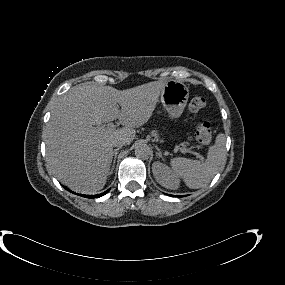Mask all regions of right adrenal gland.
I'll use <instances>...</instances> for the list:
<instances>
[{
	"mask_svg": "<svg viewBox=\"0 0 285 285\" xmlns=\"http://www.w3.org/2000/svg\"><path fill=\"white\" fill-rule=\"evenodd\" d=\"M121 147H117L116 149H114L113 151V154H112V160H111V163H112V166H111V169H110V174L113 172V169L115 167V162H116V157H117V154H118V151Z\"/></svg>",
	"mask_w": 285,
	"mask_h": 285,
	"instance_id": "obj_1",
	"label": "right adrenal gland"
}]
</instances>
